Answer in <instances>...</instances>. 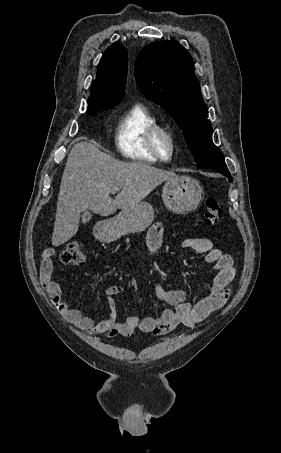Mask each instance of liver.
<instances>
[{"instance_id": "liver-1", "label": "liver", "mask_w": 281, "mask_h": 453, "mask_svg": "<svg viewBox=\"0 0 281 453\" xmlns=\"http://www.w3.org/2000/svg\"><path fill=\"white\" fill-rule=\"evenodd\" d=\"M178 176L147 162H123L99 150L91 142H77L71 148L58 192L52 233L53 247L64 245L76 235L81 212L93 210L100 216L114 214L141 202L164 180ZM112 186L122 188L115 198Z\"/></svg>"}]
</instances>
